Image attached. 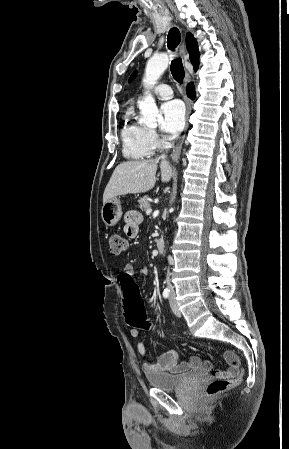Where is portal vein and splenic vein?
Returning a JSON list of instances; mask_svg holds the SVG:
<instances>
[{"label":"portal vein and splenic vein","instance_id":"18ae733b","mask_svg":"<svg viewBox=\"0 0 289 449\" xmlns=\"http://www.w3.org/2000/svg\"><path fill=\"white\" fill-rule=\"evenodd\" d=\"M151 213H152V209H151V208H149V209L146 210V214H147V215H150Z\"/></svg>","mask_w":289,"mask_h":449}]
</instances>
